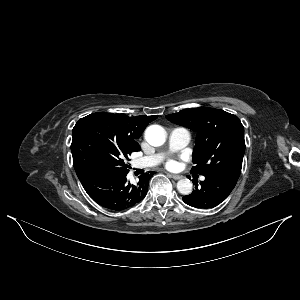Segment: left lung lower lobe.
I'll return each mask as SVG.
<instances>
[{
  "label": "left lung lower lobe",
  "instance_id": "obj_1",
  "mask_svg": "<svg viewBox=\"0 0 300 300\" xmlns=\"http://www.w3.org/2000/svg\"><path fill=\"white\" fill-rule=\"evenodd\" d=\"M236 183L224 176L206 175L205 180L201 181L199 186L196 183L195 190L182 199L195 208H214L228 197Z\"/></svg>",
  "mask_w": 300,
  "mask_h": 300
}]
</instances>
